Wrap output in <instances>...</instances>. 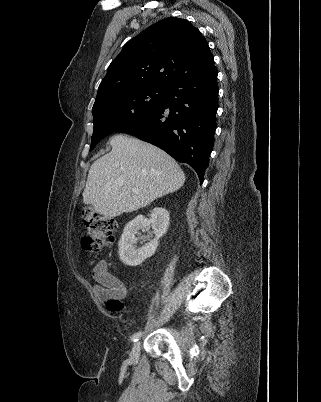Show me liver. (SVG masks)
I'll list each match as a JSON object with an SVG mask.
<instances>
[{
    "label": "liver",
    "instance_id": "6515ba94",
    "mask_svg": "<svg viewBox=\"0 0 321 402\" xmlns=\"http://www.w3.org/2000/svg\"><path fill=\"white\" fill-rule=\"evenodd\" d=\"M110 145L111 152L91 165L82 194L84 204L98 214L113 218L136 211L185 183L178 163L160 148L122 134L112 137Z\"/></svg>",
    "mask_w": 321,
    "mask_h": 402
}]
</instances>
